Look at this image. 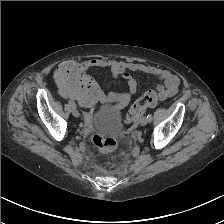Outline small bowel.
Here are the masks:
<instances>
[{"label": "small bowel", "mask_w": 224, "mask_h": 224, "mask_svg": "<svg viewBox=\"0 0 224 224\" xmlns=\"http://www.w3.org/2000/svg\"><path fill=\"white\" fill-rule=\"evenodd\" d=\"M82 67L88 68H107L112 74L122 76L127 84V91L118 96V107L124 108L127 106L137 91V82L131 75V72L148 74L159 78L162 84L157 87L156 98L165 100L173 97L179 86V78L166 69H161L155 66L145 65L137 62L116 61L103 58H94L82 63Z\"/></svg>", "instance_id": "obj_1"}]
</instances>
